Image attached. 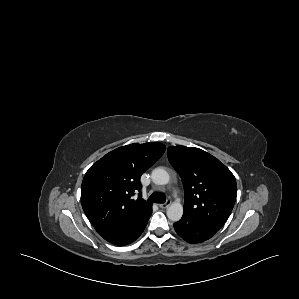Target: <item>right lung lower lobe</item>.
<instances>
[{
    "label": "right lung lower lobe",
    "mask_w": 299,
    "mask_h": 299,
    "mask_svg": "<svg viewBox=\"0 0 299 299\" xmlns=\"http://www.w3.org/2000/svg\"><path fill=\"white\" fill-rule=\"evenodd\" d=\"M151 214L140 224L129 228L118 229L101 234L110 243L124 246L135 241L145 229Z\"/></svg>",
    "instance_id": "98d812e1"
}]
</instances>
